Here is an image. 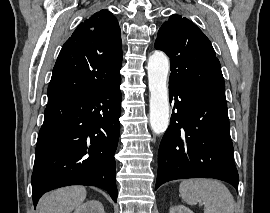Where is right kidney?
<instances>
[{
  "label": "right kidney",
  "mask_w": 270,
  "mask_h": 213,
  "mask_svg": "<svg viewBox=\"0 0 270 213\" xmlns=\"http://www.w3.org/2000/svg\"><path fill=\"white\" fill-rule=\"evenodd\" d=\"M74 213H105L101 202L90 200L76 208Z\"/></svg>",
  "instance_id": "obj_1"
}]
</instances>
